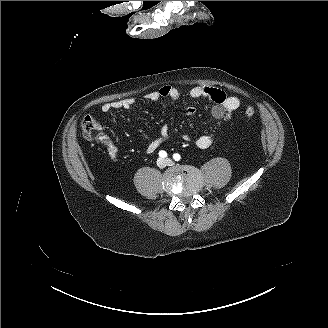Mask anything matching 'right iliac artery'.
I'll return each instance as SVG.
<instances>
[{
	"mask_svg": "<svg viewBox=\"0 0 328 328\" xmlns=\"http://www.w3.org/2000/svg\"><path fill=\"white\" fill-rule=\"evenodd\" d=\"M159 156L161 157V158H166L167 157V153L165 152V151H160L159 152Z\"/></svg>",
	"mask_w": 328,
	"mask_h": 328,
	"instance_id": "right-iliac-artery-1",
	"label": "right iliac artery"
}]
</instances>
